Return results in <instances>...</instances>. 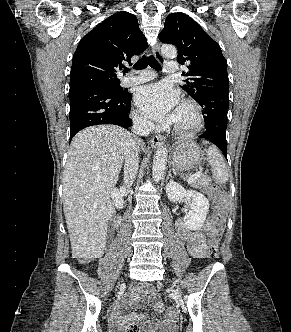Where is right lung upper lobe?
Masks as SVG:
<instances>
[{
	"mask_svg": "<svg viewBox=\"0 0 291 332\" xmlns=\"http://www.w3.org/2000/svg\"><path fill=\"white\" fill-rule=\"evenodd\" d=\"M148 47L137 18L118 12L85 35L73 55L70 90L97 81L119 82L117 72Z\"/></svg>",
	"mask_w": 291,
	"mask_h": 332,
	"instance_id": "cb5924a9",
	"label": "right lung upper lobe"
}]
</instances>
